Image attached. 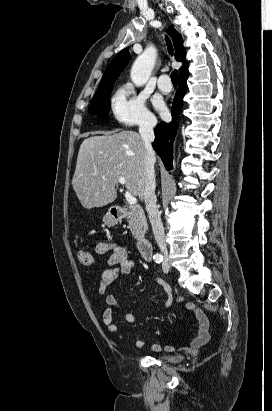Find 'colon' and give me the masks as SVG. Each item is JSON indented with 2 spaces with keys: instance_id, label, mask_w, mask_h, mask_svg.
<instances>
[{
  "instance_id": "5ec220e1",
  "label": "colon",
  "mask_w": 272,
  "mask_h": 411,
  "mask_svg": "<svg viewBox=\"0 0 272 411\" xmlns=\"http://www.w3.org/2000/svg\"><path fill=\"white\" fill-rule=\"evenodd\" d=\"M76 257L80 264L90 266L93 263L92 255L84 248H78L76 250Z\"/></svg>"
}]
</instances>
